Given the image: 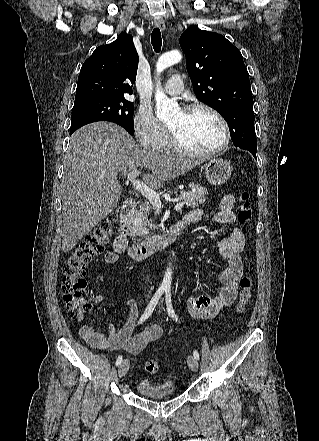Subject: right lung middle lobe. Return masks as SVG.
<instances>
[{
  "mask_svg": "<svg viewBox=\"0 0 319 441\" xmlns=\"http://www.w3.org/2000/svg\"><path fill=\"white\" fill-rule=\"evenodd\" d=\"M133 104L124 97H87L75 99L70 129L96 121H110L134 134Z\"/></svg>",
  "mask_w": 319,
  "mask_h": 441,
  "instance_id": "right-lung-middle-lobe-1",
  "label": "right lung middle lobe"
}]
</instances>
